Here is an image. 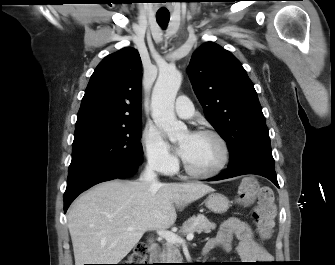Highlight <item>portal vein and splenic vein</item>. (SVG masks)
Wrapping results in <instances>:
<instances>
[{"instance_id": "obj_1", "label": "portal vein and splenic vein", "mask_w": 335, "mask_h": 265, "mask_svg": "<svg viewBox=\"0 0 335 265\" xmlns=\"http://www.w3.org/2000/svg\"><path fill=\"white\" fill-rule=\"evenodd\" d=\"M133 228H128V231H132ZM158 235L165 238L167 242L169 243H180V244H183L185 243V240L183 238H181L180 236H178L177 234L171 232V231H168V230H158L157 231ZM187 240L191 241L193 238H194V233L193 232H190L189 234H187Z\"/></svg>"}]
</instances>
